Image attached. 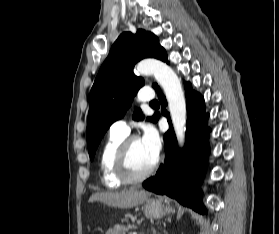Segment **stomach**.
I'll use <instances>...</instances> for the list:
<instances>
[{"label": "stomach", "instance_id": "obj_1", "mask_svg": "<svg viewBox=\"0 0 279 234\" xmlns=\"http://www.w3.org/2000/svg\"><path fill=\"white\" fill-rule=\"evenodd\" d=\"M170 211L169 207H165L161 201L158 200H148L143 206V212L146 217L158 219ZM125 230V227L122 225H115L113 229L108 231L107 234H121Z\"/></svg>", "mask_w": 279, "mask_h": 234}]
</instances>
